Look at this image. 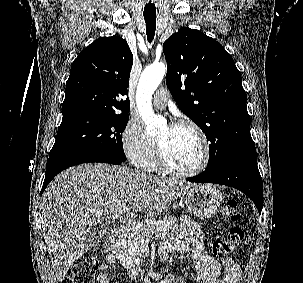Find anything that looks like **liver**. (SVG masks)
Segmentation results:
<instances>
[{
  "instance_id": "6515ba94",
  "label": "liver",
  "mask_w": 303,
  "mask_h": 283,
  "mask_svg": "<svg viewBox=\"0 0 303 283\" xmlns=\"http://www.w3.org/2000/svg\"><path fill=\"white\" fill-rule=\"evenodd\" d=\"M196 184L147 175L125 166L102 163L69 168L42 196L44 239L57 281L94 246L95 226L131 214H160Z\"/></svg>"
}]
</instances>
